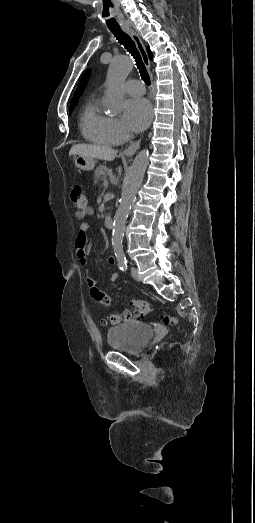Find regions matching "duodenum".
<instances>
[{"label":"duodenum","mask_w":255,"mask_h":523,"mask_svg":"<svg viewBox=\"0 0 255 523\" xmlns=\"http://www.w3.org/2000/svg\"><path fill=\"white\" fill-rule=\"evenodd\" d=\"M104 224L108 229L113 228V217L111 215H106L104 218Z\"/></svg>","instance_id":"duodenum-1"}]
</instances>
